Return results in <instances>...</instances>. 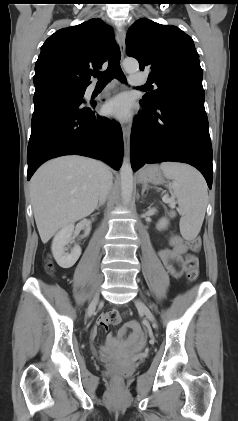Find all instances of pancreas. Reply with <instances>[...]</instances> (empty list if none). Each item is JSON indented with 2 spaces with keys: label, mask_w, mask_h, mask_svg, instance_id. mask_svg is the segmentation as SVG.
Masks as SVG:
<instances>
[{
  "label": "pancreas",
  "mask_w": 238,
  "mask_h": 421,
  "mask_svg": "<svg viewBox=\"0 0 238 421\" xmlns=\"http://www.w3.org/2000/svg\"><path fill=\"white\" fill-rule=\"evenodd\" d=\"M163 201H164L165 203L169 204L170 206L174 205V201H173L172 199H170V198H166V197H164V198H163Z\"/></svg>",
  "instance_id": "pancreas-1"
}]
</instances>
